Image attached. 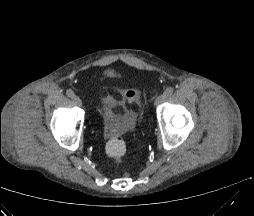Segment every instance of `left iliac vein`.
<instances>
[{
	"label": "left iliac vein",
	"instance_id": "obj_1",
	"mask_svg": "<svg viewBox=\"0 0 254 216\" xmlns=\"http://www.w3.org/2000/svg\"><path fill=\"white\" fill-rule=\"evenodd\" d=\"M166 99H167V96L165 94H162L156 98V100L154 101V105H159L162 102H164Z\"/></svg>",
	"mask_w": 254,
	"mask_h": 216
}]
</instances>
